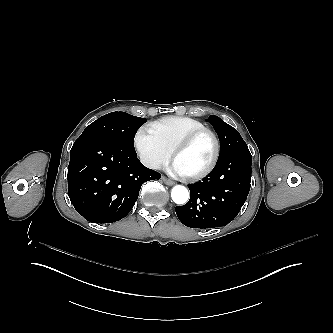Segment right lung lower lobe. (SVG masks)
<instances>
[{
  "label": "right lung lower lobe",
  "mask_w": 333,
  "mask_h": 333,
  "mask_svg": "<svg viewBox=\"0 0 333 333\" xmlns=\"http://www.w3.org/2000/svg\"><path fill=\"white\" fill-rule=\"evenodd\" d=\"M161 174L141 164L135 151L104 136H80L70 151L68 196L93 223H111L133 208L141 185Z\"/></svg>",
  "instance_id": "obj_1"
}]
</instances>
